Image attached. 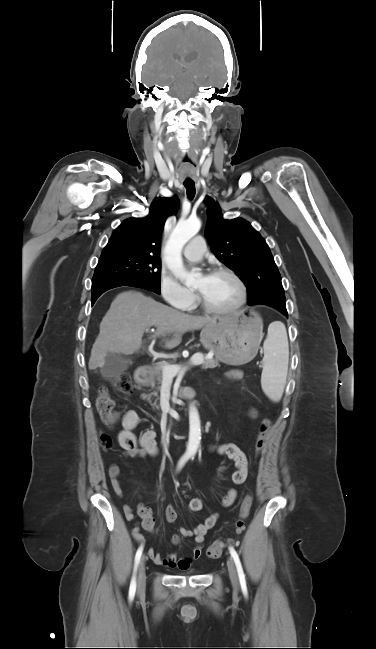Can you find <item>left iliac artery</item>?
I'll return each mask as SVG.
<instances>
[{"label":"left iliac artery","instance_id":"1","mask_svg":"<svg viewBox=\"0 0 376 649\" xmlns=\"http://www.w3.org/2000/svg\"><path fill=\"white\" fill-rule=\"evenodd\" d=\"M229 551H230V554L233 557V560H234L235 565H236V569H237V572H238L241 588H242L243 591H246L247 590L246 580H245V575H244V572H243V568H242L239 556H238L237 552L235 551V549L232 546H229Z\"/></svg>","mask_w":376,"mask_h":649}]
</instances>
